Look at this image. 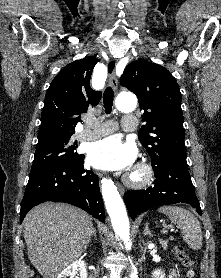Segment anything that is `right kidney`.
<instances>
[{"label":"right kidney","mask_w":221,"mask_h":278,"mask_svg":"<svg viewBox=\"0 0 221 278\" xmlns=\"http://www.w3.org/2000/svg\"><path fill=\"white\" fill-rule=\"evenodd\" d=\"M79 270V277L77 278H87L86 263L82 260H78L70 264L66 269H64L57 278H73L74 275Z\"/></svg>","instance_id":"right-kidney-1"}]
</instances>
